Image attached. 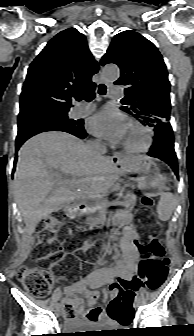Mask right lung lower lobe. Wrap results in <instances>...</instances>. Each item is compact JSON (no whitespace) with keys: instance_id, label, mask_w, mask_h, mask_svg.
Wrapping results in <instances>:
<instances>
[{"instance_id":"1","label":"right lung lower lobe","mask_w":194,"mask_h":336,"mask_svg":"<svg viewBox=\"0 0 194 336\" xmlns=\"http://www.w3.org/2000/svg\"><path fill=\"white\" fill-rule=\"evenodd\" d=\"M81 122V125L78 126V127H75V128H70V129H39V130H33V131H28V132H23L21 134H18L17 135V138H16V153L17 151L19 150V148L21 147V145L26 141L28 140L30 137L38 134V133H41V132H46V131H64V132H68L72 135H75L81 139H84L86 138L87 136V133L86 131L84 130V127H83V121H80ZM16 160H17V157L15 158V162H14V169H15V163H16Z\"/></svg>"}]
</instances>
